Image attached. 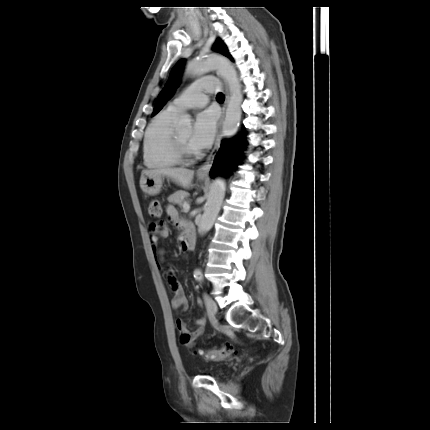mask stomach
Listing matches in <instances>:
<instances>
[{
	"label": "stomach",
	"mask_w": 430,
	"mask_h": 430,
	"mask_svg": "<svg viewBox=\"0 0 430 430\" xmlns=\"http://www.w3.org/2000/svg\"><path fill=\"white\" fill-rule=\"evenodd\" d=\"M200 180H204L205 177L198 175ZM164 176L157 174H145L140 178V187L145 194L154 196L160 193Z\"/></svg>",
	"instance_id": "0dacf381"
}]
</instances>
